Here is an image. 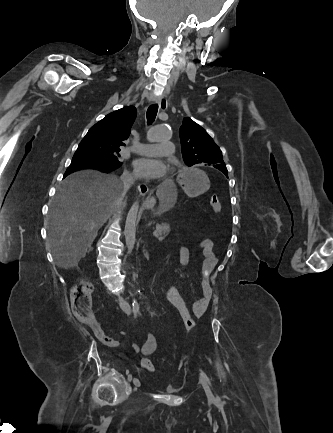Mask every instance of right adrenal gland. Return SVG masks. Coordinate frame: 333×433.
Returning <instances> with one entry per match:
<instances>
[{"instance_id":"obj_1","label":"right adrenal gland","mask_w":333,"mask_h":433,"mask_svg":"<svg viewBox=\"0 0 333 433\" xmlns=\"http://www.w3.org/2000/svg\"><path fill=\"white\" fill-rule=\"evenodd\" d=\"M92 250V246L90 245L88 248V252H90Z\"/></svg>"}]
</instances>
